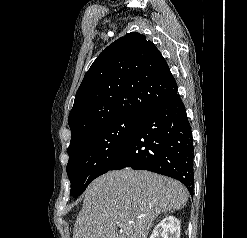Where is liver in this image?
<instances>
[{
  "instance_id": "6515ba94",
  "label": "liver",
  "mask_w": 247,
  "mask_h": 238,
  "mask_svg": "<svg viewBox=\"0 0 247 238\" xmlns=\"http://www.w3.org/2000/svg\"><path fill=\"white\" fill-rule=\"evenodd\" d=\"M187 199L185 187L171 178L131 168L110 171L86 189L73 238H147L159 214L183 208Z\"/></svg>"
}]
</instances>
